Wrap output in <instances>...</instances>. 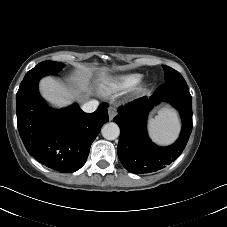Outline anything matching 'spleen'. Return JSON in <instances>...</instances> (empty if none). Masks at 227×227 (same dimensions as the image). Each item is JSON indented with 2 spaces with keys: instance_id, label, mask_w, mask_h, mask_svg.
I'll use <instances>...</instances> for the list:
<instances>
[{
  "instance_id": "obj_1",
  "label": "spleen",
  "mask_w": 227,
  "mask_h": 227,
  "mask_svg": "<svg viewBox=\"0 0 227 227\" xmlns=\"http://www.w3.org/2000/svg\"><path fill=\"white\" fill-rule=\"evenodd\" d=\"M180 122L176 112L170 108L159 110L155 118L149 120V132L152 139L161 145L172 143L178 136Z\"/></svg>"
}]
</instances>
